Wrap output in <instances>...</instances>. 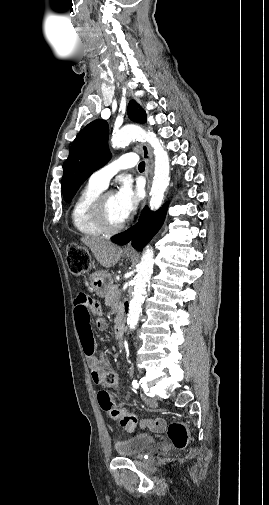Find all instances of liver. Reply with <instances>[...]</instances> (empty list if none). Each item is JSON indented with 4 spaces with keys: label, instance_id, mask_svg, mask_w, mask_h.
<instances>
[{
    "label": "liver",
    "instance_id": "1",
    "mask_svg": "<svg viewBox=\"0 0 269 505\" xmlns=\"http://www.w3.org/2000/svg\"><path fill=\"white\" fill-rule=\"evenodd\" d=\"M81 241L90 248L94 257L105 268L115 266L121 258L122 249L108 240L97 237H82Z\"/></svg>",
    "mask_w": 269,
    "mask_h": 505
}]
</instances>
